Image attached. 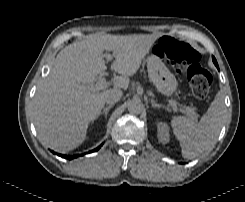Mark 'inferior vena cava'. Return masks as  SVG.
Returning <instances> with one entry per match:
<instances>
[{
    "instance_id": "inferior-vena-cava-1",
    "label": "inferior vena cava",
    "mask_w": 245,
    "mask_h": 202,
    "mask_svg": "<svg viewBox=\"0 0 245 202\" xmlns=\"http://www.w3.org/2000/svg\"><path fill=\"white\" fill-rule=\"evenodd\" d=\"M122 95H123V92L120 89H112L108 91L106 98H105V102L107 104H114L121 99Z\"/></svg>"
}]
</instances>
